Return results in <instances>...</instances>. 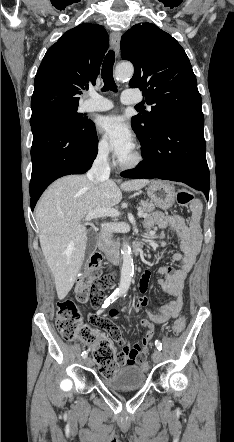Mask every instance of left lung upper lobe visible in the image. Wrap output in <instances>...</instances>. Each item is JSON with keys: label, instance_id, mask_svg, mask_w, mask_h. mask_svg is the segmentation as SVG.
Instances as JSON below:
<instances>
[{"label": "left lung upper lobe", "instance_id": "5c2ea615", "mask_svg": "<svg viewBox=\"0 0 234 442\" xmlns=\"http://www.w3.org/2000/svg\"><path fill=\"white\" fill-rule=\"evenodd\" d=\"M121 57L134 65L131 88L143 91L150 112L133 116L131 125L145 148L157 127L172 117L202 111L190 61L181 45L154 24H136L121 38Z\"/></svg>", "mask_w": 234, "mask_h": 442}]
</instances>
